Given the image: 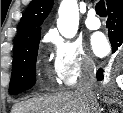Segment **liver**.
Listing matches in <instances>:
<instances>
[{"label":"liver","instance_id":"liver-1","mask_svg":"<svg viewBox=\"0 0 123 113\" xmlns=\"http://www.w3.org/2000/svg\"><path fill=\"white\" fill-rule=\"evenodd\" d=\"M89 107L79 94L60 91L41 95L15 105L13 113H88Z\"/></svg>","mask_w":123,"mask_h":113}]
</instances>
